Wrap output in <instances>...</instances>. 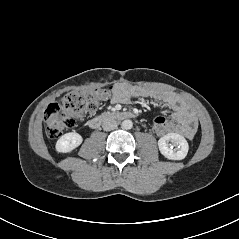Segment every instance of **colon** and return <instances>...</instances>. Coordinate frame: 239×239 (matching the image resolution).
<instances>
[{"mask_svg": "<svg viewBox=\"0 0 239 239\" xmlns=\"http://www.w3.org/2000/svg\"><path fill=\"white\" fill-rule=\"evenodd\" d=\"M109 95L107 89H86L70 92L59 103L49 104L44 110L47 135L50 138L59 137L65 130L74 127L84 116L96 112ZM151 124L152 132L160 139L172 128L171 122L162 115L155 117Z\"/></svg>", "mask_w": 239, "mask_h": 239, "instance_id": "obj_1", "label": "colon"}]
</instances>
